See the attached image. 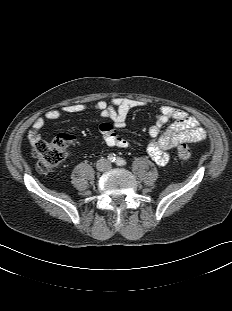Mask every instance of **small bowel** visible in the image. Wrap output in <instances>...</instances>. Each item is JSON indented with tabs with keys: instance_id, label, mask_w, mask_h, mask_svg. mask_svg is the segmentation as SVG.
Wrapping results in <instances>:
<instances>
[{
	"instance_id": "obj_1",
	"label": "small bowel",
	"mask_w": 232,
	"mask_h": 311,
	"mask_svg": "<svg viewBox=\"0 0 232 311\" xmlns=\"http://www.w3.org/2000/svg\"><path fill=\"white\" fill-rule=\"evenodd\" d=\"M141 100L117 96L110 101L99 100L94 104H68L60 108L48 110L44 117L37 118L27 137L32 146L43 140L41 129L46 120H58L65 114H78L87 111H97L112 123H102L100 131L104 142L108 146L127 148L129 142L126 138L116 133V129H123L131 110L143 107ZM168 125L165 129L164 127ZM149 136L153 138L147 144V151L151 159L158 165H165L169 161L168 151L183 143L198 142L206 137L205 129L198 119L188 112L172 106L159 108L154 123L149 127Z\"/></svg>"
}]
</instances>
